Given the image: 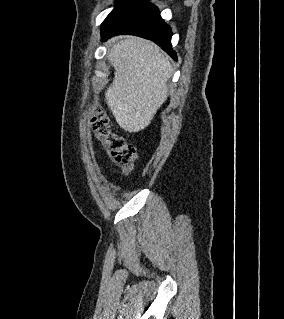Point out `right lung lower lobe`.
Listing matches in <instances>:
<instances>
[{
	"label": "right lung lower lobe",
	"instance_id": "1",
	"mask_svg": "<svg viewBox=\"0 0 284 319\" xmlns=\"http://www.w3.org/2000/svg\"><path fill=\"white\" fill-rule=\"evenodd\" d=\"M119 34H131L152 40L173 59H177L171 47V28L160 17L158 8L146 0H138L108 27L101 30L103 41Z\"/></svg>",
	"mask_w": 284,
	"mask_h": 319
}]
</instances>
